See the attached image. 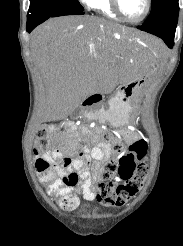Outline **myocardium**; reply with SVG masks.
<instances>
[{"label": "myocardium", "mask_w": 183, "mask_h": 246, "mask_svg": "<svg viewBox=\"0 0 183 246\" xmlns=\"http://www.w3.org/2000/svg\"><path fill=\"white\" fill-rule=\"evenodd\" d=\"M110 1H111L112 8L117 13V15L124 21L128 23H132V24H137V23L142 22L148 16L151 10V0H145L146 6H145L144 13L137 19H130L124 14L122 7H121L120 0H110Z\"/></svg>", "instance_id": "myocardium-1"}]
</instances>
